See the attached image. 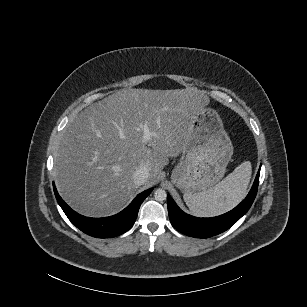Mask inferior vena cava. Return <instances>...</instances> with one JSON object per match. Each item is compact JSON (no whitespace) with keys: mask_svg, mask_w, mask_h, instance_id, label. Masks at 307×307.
<instances>
[{"mask_svg":"<svg viewBox=\"0 0 307 307\" xmlns=\"http://www.w3.org/2000/svg\"><path fill=\"white\" fill-rule=\"evenodd\" d=\"M149 177V168L146 164L140 166L133 173V181L137 186L143 185Z\"/></svg>","mask_w":307,"mask_h":307,"instance_id":"602c4592","label":"inferior vena cava"}]
</instances>
